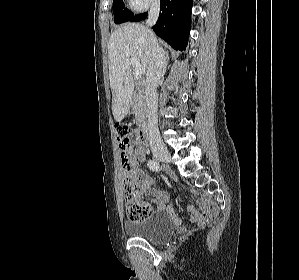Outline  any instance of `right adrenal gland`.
I'll return each instance as SVG.
<instances>
[{"label": "right adrenal gland", "instance_id": "right-adrenal-gland-1", "mask_svg": "<svg viewBox=\"0 0 299 280\" xmlns=\"http://www.w3.org/2000/svg\"><path fill=\"white\" fill-rule=\"evenodd\" d=\"M165 56H166V60H167V63H168V61H169V55H168V53H165Z\"/></svg>", "mask_w": 299, "mask_h": 280}]
</instances>
